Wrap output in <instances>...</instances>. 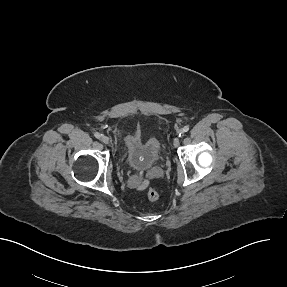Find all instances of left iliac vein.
I'll list each match as a JSON object with an SVG mask.
<instances>
[{"instance_id":"obj_1","label":"left iliac vein","mask_w":287,"mask_h":287,"mask_svg":"<svg viewBox=\"0 0 287 287\" xmlns=\"http://www.w3.org/2000/svg\"><path fill=\"white\" fill-rule=\"evenodd\" d=\"M179 132H180V133H183V129H180ZM174 145H175V146H179V140H178V139H175V140H174Z\"/></svg>"}]
</instances>
